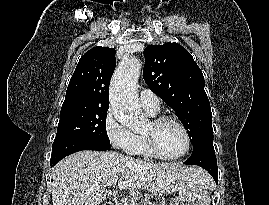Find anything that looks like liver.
<instances>
[{
	"label": "liver",
	"instance_id": "6515ba94",
	"mask_svg": "<svg viewBox=\"0 0 269 205\" xmlns=\"http://www.w3.org/2000/svg\"><path fill=\"white\" fill-rule=\"evenodd\" d=\"M120 177L119 190L146 189L168 194L192 186L208 188L211 178L203 169L180 164H154L115 151H80L53 169V205H99L106 199V182Z\"/></svg>",
	"mask_w": 269,
	"mask_h": 205
}]
</instances>
